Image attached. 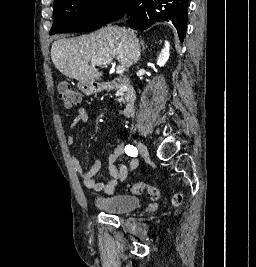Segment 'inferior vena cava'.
<instances>
[{
	"mask_svg": "<svg viewBox=\"0 0 256 267\" xmlns=\"http://www.w3.org/2000/svg\"><path fill=\"white\" fill-rule=\"evenodd\" d=\"M131 48H132L131 60H133L134 64H136V62H138L140 58V48H139L138 40H135Z\"/></svg>",
	"mask_w": 256,
	"mask_h": 267,
	"instance_id": "obj_1",
	"label": "inferior vena cava"
}]
</instances>
